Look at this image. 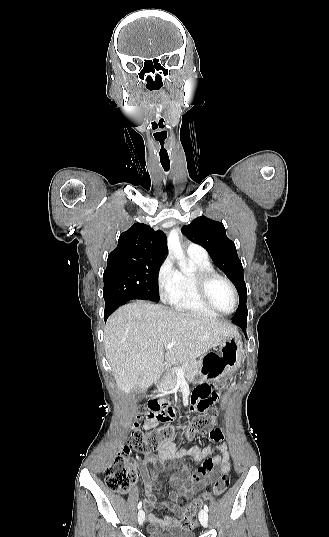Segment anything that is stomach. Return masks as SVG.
<instances>
[{
    "label": "stomach",
    "instance_id": "0dacf381",
    "mask_svg": "<svg viewBox=\"0 0 329 537\" xmlns=\"http://www.w3.org/2000/svg\"><path fill=\"white\" fill-rule=\"evenodd\" d=\"M243 344L239 334L228 336L220 343L219 353H207L199 368L198 381L218 380L227 374L232 375L241 364Z\"/></svg>",
    "mask_w": 329,
    "mask_h": 537
}]
</instances>
